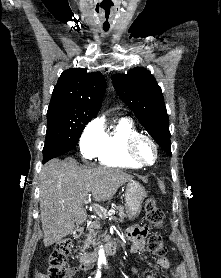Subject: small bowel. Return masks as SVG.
Wrapping results in <instances>:
<instances>
[{
	"instance_id": "1",
	"label": "small bowel",
	"mask_w": 221,
	"mask_h": 278,
	"mask_svg": "<svg viewBox=\"0 0 221 278\" xmlns=\"http://www.w3.org/2000/svg\"><path fill=\"white\" fill-rule=\"evenodd\" d=\"M128 236L132 240L131 251L134 254L143 253L145 248V236L147 234V229L141 226H132L127 230ZM170 261L166 257H161L157 261V267L161 271H165L169 268ZM83 269L71 267L68 269L67 278H74L75 275L79 272H82ZM143 278H156L154 274H146ZM173 278H186V272L183 264H179L176 268V272Z\"/></svg>"
}]
</instances>
